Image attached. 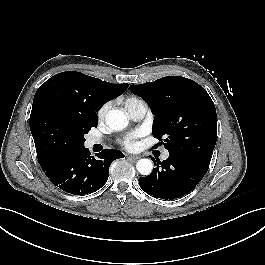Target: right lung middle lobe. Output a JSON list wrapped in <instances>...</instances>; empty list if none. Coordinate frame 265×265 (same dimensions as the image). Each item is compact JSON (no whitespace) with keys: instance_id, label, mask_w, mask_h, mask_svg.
<instances>
[{"instance_id":"obj_1","label":"right lung middle lobe","mask_w":265,"mask_h":265,"mask_svg":"<svg viewBox=\"0 0 265 265\" xmlns=\"http://www.w3.org/2000/svg\"><path fill=\"white\" fill-rule=\"evenodd\" d=\"M30 130L38 159L84 147V135L97 126V119L66 113L45 103L31 111Z\"/></svg>"}]
</instances>
